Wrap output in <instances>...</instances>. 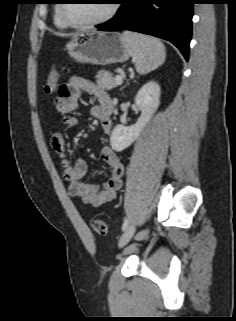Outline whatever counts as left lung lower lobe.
<instances>
[{"instance_id": "0a47b994", "label": "left lung lower lobe", "mask_w": 236, "mask_h": 321, "mask_svg": "<svg viewBox=\"0 0 236 321\" xmlns=\"http://www.w3.org/2000/svg\"><path fill=\"white\" fill-rule=\"evenodd\" d=\"M117 14L102 25V31L130 30L173 43L189 58L194 0H119Z\"/></svg>"}]
</instances>
